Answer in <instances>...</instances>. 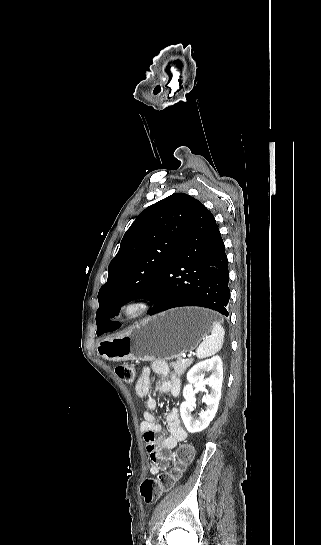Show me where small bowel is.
Here are the masks:
<instances>
[{
  "label": "small bowel",
  "instance_id": "1",
  "mask_svg": "<svg viewBox=\"0 0 321 545\" xmlns=\"http://www.w3.org/2000/svg\"><path fill=\"white\" fill-rule=\"evenodd\" d=\"M151 373L161 377L156 383V390L159 393H168L172 397L179 395L181 381L176 375L170 374L169 368L164 361L157 360L144 367L135 385L136 393L144 399L147 409L143 413L140 429L151 462L150 472L155 475L165 470L169 462L173 460L172 450L187 438V432L181 425L178 410L173 408L166 418L169 434L160 435L161 425L152 413L156 409L157 402L153 397L149 396Z\"/></svg>",
  "mask_w": 321,
  "mask_h": 545
}]
</instances>
